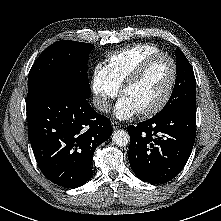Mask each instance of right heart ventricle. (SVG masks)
Here are the masks:
<instances>
[{"label":"right heart ventricle","mask_w":221,"mask_h":221,"mask_svg":"<svg viewBox=\"0 0 221 221\" xmlns=\"http://www.w3.org/2000/svg\"><path fill=\"white\" fill-rule=\"evenodd\" d=\"M160 52L153 44L140 43L109 53L106 56V68L115 84L122 85L128 74L147 56Z\"/></svg>","instance_id":"right-heart-ventricle-1"}]
</instances>
